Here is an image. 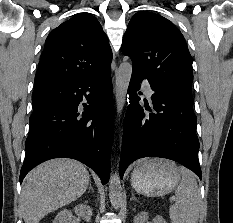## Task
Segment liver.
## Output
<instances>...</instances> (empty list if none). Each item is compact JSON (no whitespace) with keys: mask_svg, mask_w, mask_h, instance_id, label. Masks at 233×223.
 Here are the masks:
<instances>
[{"mask_svg":"<svg viewBox=\"0 0 233 223\" xmlns=\"http://www.w3.org/2000/svg\"><path fill=\"white\" fill-rule=\"evenodd\" d=\"M89 179L85 165L75 159H49L34 167L20 195L25 223H39L53 209L83 195Z\"/></svg>","mask_w":233,"mask_h":223,"instance_id":"6515ba94","label":"liver"}]
</instances>
